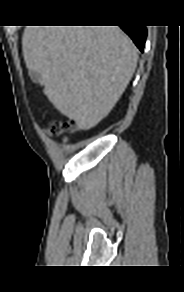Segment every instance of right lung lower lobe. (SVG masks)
<instances>
[{"label":"right lung lower lobe","instance_id":"obj_1","mask_svg":"<svg viewBox=\"0 0 184 292\" xmlns=\"http://www.w3.org/2000/svg\"><path fill=\"white\" fill-rule=\"evenodd\" d=\"M133 40L136 46L143 51L145 40L147 36V30L145 26L133 27V26H120Z\"/></svg>","mask_w":184,"mask_h":292}]
</instances>
